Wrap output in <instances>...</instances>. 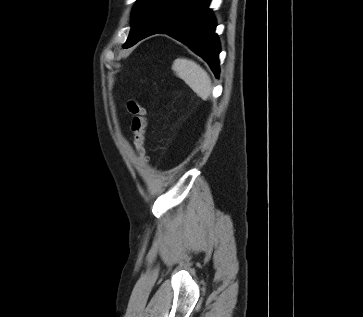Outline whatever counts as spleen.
<instances>
[{
	"label": "spleen",
	"mask_w": 363,
	"mask_h": 317,
	"mask_svg": "<svg viewBox=\"0 0 363 317\" xmlns=\"http://www.w3.org/2000/svg\"><path fill=\"white\" fill-rule=\"evenodd\" d=\"M172 69L199 97L207 99L212 91L208 73L196 62L178 58L173 62Z\"/></svg>",
	"instance_id": "3e777b00"
}]
</instances>
